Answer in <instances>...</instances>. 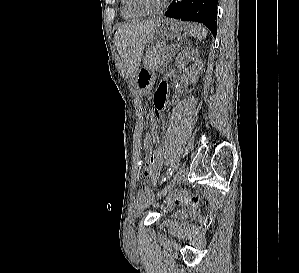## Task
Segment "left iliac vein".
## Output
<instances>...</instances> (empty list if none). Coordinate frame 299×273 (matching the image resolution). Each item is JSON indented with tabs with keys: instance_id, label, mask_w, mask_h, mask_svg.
<instances>
[{
	"instance_id": "4c4485c4",
	"label": "left iliac vein",
	"mask_w": 299,
	"mask_h": 273,
	"mask_svg": "<svg viewBox=\"0 0 299 273\" xmlns=\"http://www.w3.org/2000/svg\"><path fill=\"white\" fill-rule=\"evenodd\" d=\"M185 175V167L184 165H182L177 173L175 174V176L173 177V179L171 180L170 184L165 188L163 189V191L159 194V196L161 197L162 195H164L171 187H173L174 185H176L177 183H179L182 178L184 177Z\"/></svg>"
}]
</instances>
